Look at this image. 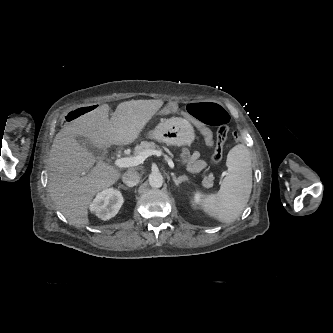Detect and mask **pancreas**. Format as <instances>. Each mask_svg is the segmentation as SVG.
<instances>
[{
	"instance_id": "1",
	"label": "pancreas",
	"mask_w": 333,
	"mask_h": 333,
	"mask_svg": "<svg viewBox=\"0 0 333 333\" xmlns=\"http://www.w3.org/2000/svg\"><path fill=\"white\" fill-rule=\"evenodd\" d=\"M158 147L159 146L156 145L154 142L143 141L140 143V145H137L135 147L133 154L136 156L140 152L156 150V148H158ZM170 155L173 156L172 154H170ZM212 180H213L212 175H203V180H202L203 186H205V187L212 186Z\"/></svg>"
}]
</instances>
